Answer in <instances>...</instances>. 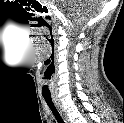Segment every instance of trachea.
<instances>
[{
  "label": "trachea",
  "instance_id": "1",
  "mask_svg": "<svg viewBox=\"0 0 124 123\" xmlns=\"http://www.w3.org/2000/svg\"><path fill=\"white\" fill-rule=\"evenodd\" d=\"M44 100H45L46 104L48 105V107L50 108V110L52 111L53 115L55 116L57 122L64 123L62 117L60 116L58 110L56 109V107L52 101V98L44 96Z\"/></svg>",
  "mask_w": 124,
  "mask_h": 123
}]
</instances>
